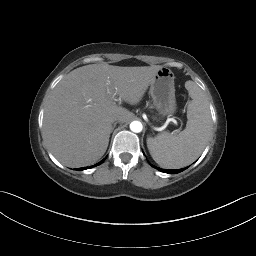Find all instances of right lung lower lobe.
<instances>
[{"label":"right lung lower lobe","mask_w":256,"mask_h":256,"mask_svg":"<svg viewBox=\"0 0 256 256\" xmlns=\"http://www.w3.org/2000/svg\"><path fill=\"white\" fill-rule=\"evenodd\" d=\"M104 160L105 159H103L102 161H100L99 163H97L96 165H94V166H98V165H100L101 163H103L104 162ZM94 166H91V167H94ZM84 169H87V168H79V170H84Z\"/></svg>","instance_id":"right-lung-lower-lobe-1"}]
</instances>
